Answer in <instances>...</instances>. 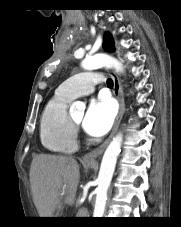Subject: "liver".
Returning <instances> with one entry per match:
<instances>
[{
	"mask_svg": "<svg viewBox=\"0 0 181 227\" xmlns=\"http://www.w3.org/2000/svg\"><path fill=\"white\" fill-rule=\"evenodd\" d=\"M80 180L73 157L40 154L33 158L30 183L40 217H58L63 204L73 205Z\"/></svg>",
	"mask_w": 181,
	"mask_h": 227,
	"instance_id": "6515ba94",
	"label": "liver"
}]
</instances>
